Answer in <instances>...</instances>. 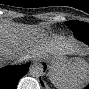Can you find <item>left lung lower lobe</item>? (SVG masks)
<instances>
[{"instance_id": "0a47b994", "label": "left lung lower lobe", "mask_w": 89, "mask_h": 89, "mask_svg": "<svg viewBox=\"0 0 89 89\" xmlns=\"http://www.w3.org/2000/svg\"><path fill=\"white\" fill-rule=\"evenodd\" d=\"M74 35L76 38L80 39L81 41L89 44V31H77V32H74ZM44 69H46V65L44 64ZM88 87H86L85 89H88Z\"/></svg>"}]
</instances>
